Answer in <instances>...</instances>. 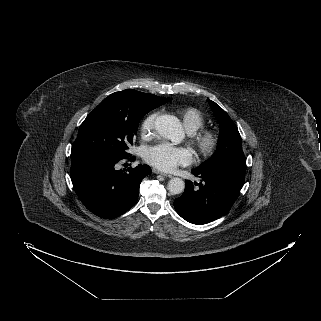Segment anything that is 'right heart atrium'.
Returning a JSON list of instances; mask_svg holds the SVG:
<instances>
[{"mask_svg": "<svg viewBox=\"0 0 321 321\" xmlns=\"http://www.w3.org/2000/svg\"><path fill=\"white\" fill-rule=\"evenodd\" d=\"M156 117L157 113H151L143 120L140 128L143 137H148L153 133Z\"/></svg>", "mask_w": 321, "mask_h": 321, "instance_id": "1", "label": "right heart atrium"}]
</instances>
